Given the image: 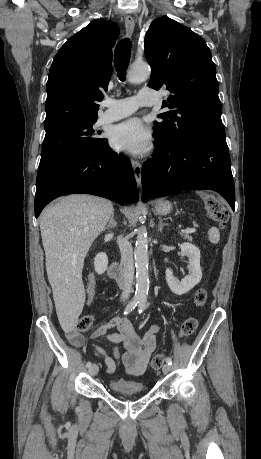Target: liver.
<instances>
[{
	"instance_id": "1",
	"label": "liver",
	"mask_w": 261,
	"mask_h": 459,
	"mask_svg": "<svg viewBox=\"0 0 261 459\" xmlns=\"http://www.w3.org/2000/svg\"><path fill=\"white\" fill-rule=\"evenodd\" d=\"M113 212L107 199L73 194L47 207L41 215L46 271L64 331H72L78 323L85 302L84 259Z\"/></svg>"
}]
</instances>
